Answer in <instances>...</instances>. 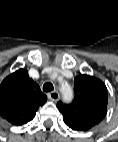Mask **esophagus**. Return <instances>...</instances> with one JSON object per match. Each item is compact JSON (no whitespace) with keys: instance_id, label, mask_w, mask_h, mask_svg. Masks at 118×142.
Instances as JSON below:
<instances>
[{"instance_id":"obj_1","label":"esophagus","mask_w":118,"mask_h":142,"mask_svg":"<svg viewBox=\"0 0 118 142\" xmlns=\"http://www.w3.org/2000/svg\"><path fill=\"white\" fill-rule=\"evenodd\" d=\"M60 95L57 91H52L48 93V98L52 101H57L59 99Z\"/></svg>"}]
</instances>
